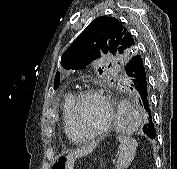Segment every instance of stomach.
<instances>
[{
  "mask_svg": "<svg viewBox=\"0 0 177 169\" xmlns=\"http://www.w3.org/2000/svg\"><path fill=\"white\" fill-rule=\"evenodd\" d=\"M51 169H69L67 159L64 156L56 157L51 165Z\"/></svg>",
  "mask_w": 177,
  "mask_h": 169,
  "instance_id": "0dacf381",
  "label": "stomach"
}]
</instances>
